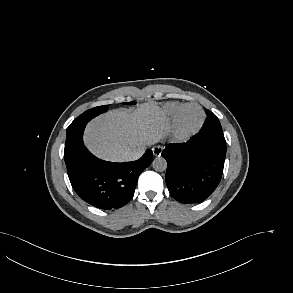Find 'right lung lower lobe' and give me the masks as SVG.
<instances>
[{"mask_svg":"<svg viewBox=\"0 0 293 293\" xmlns=\"http://www.w3.org/2000/svg\"><path fill=\"white\" fill-rule=\"evenodd\" d=\"M89 119L72 122L66 131L64 159L71 185L87 203L100 209H117L127 204L140 173L152 160V150L136 161L114 163L98 159L83 143Z\"/></svg>","mask_w":293,"mask_h":293,"instance_id":"right-lung-lower-lobe-1","label":"right lung lower lobe"}]
</instances>
